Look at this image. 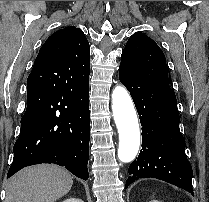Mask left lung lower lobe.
I'll use <instances>...</instances> for the list:
<instances>
[{
    "label": "left lung lower lobe",
    "instance_id": "left-lung-lower-lobe-1",
    "mask_svg": "<svg viewBox=\"0 0 209 202\" xmlns=\"http://www.w3.org/2000/svg\"><path fill=\"white\" fill-rule=\"evenodd\" d=\"M119 79L130 91L140 115L142 149L129 166L125 188L140 178H157L193 194L192 168L179 130L174 91L136 74L119 69Z\"/></svg>",
    "mask_w": 209,
    "mask_h": 202
}]
</instances>
